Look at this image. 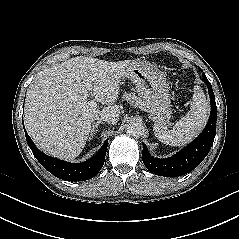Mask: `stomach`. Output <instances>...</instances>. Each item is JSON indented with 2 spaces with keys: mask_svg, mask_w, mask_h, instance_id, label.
Masks as SVG:
<instances>
[{
  "mask_svg": "<svg viewBox=\"0 0 239 239\" xmlns=\"http://www.w3.org/2000/svg\"><path fill=\"white\" fill-rule=\"evenodd\" d=\"M123 78L136 86L140 95V106L147 112L154 125L165 128L171 118V101L164 75L151 64L144 61H131Z\"/></svg>",
  "mask_w": 239,
  "mask_h": 239,
  "instance_id": "stomach-1",
  "label": "stomach"
}]
</instances>
